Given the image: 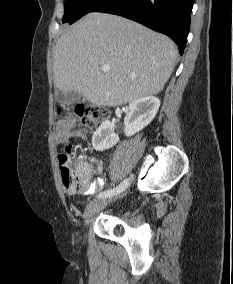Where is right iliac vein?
Masks as SVG:
<instances>
[{"instance_id": "obj_1", "label": "right iliac vein", "mask_w": 233, "mask_h": 284, "mask_svg": "<svg viewBox=\"0 0 233 284\" xmlns=\"http://www.w3.org/2000/svg\"><path fill=\"white\" fill-rule=\"evenodd\" d=\"M124 194H129V188L125 187L122 189V192L115 194L114 196H108V197H101L93 200L90 202V204L86 207L85 210V217L91 218L94 216L97 212L102 210L108 203L112 202L113 200L122 198Z\"/></svg>"}]
</instances>
